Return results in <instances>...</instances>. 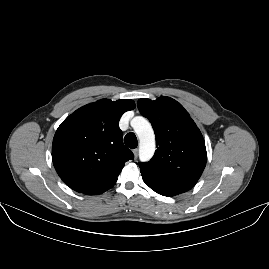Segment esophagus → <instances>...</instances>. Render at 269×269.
I'll list each match as a JSON object with an SVG mask.
<instances>
[{"label": "esophagus", "instance_id": "esophagus-1", "mask_svg": "<svg viewBox=\"0 0 269 269\" xmlns=\"http://www.w3.org/2000/svg\"><path fill=\"white\" fill-rule=\"evenodd\" d=\"M133 153H134V159L136 160L138 157V149H134Z\"/></svg>", "mask_w": 269, "mask_h": 269}]
</instances>
